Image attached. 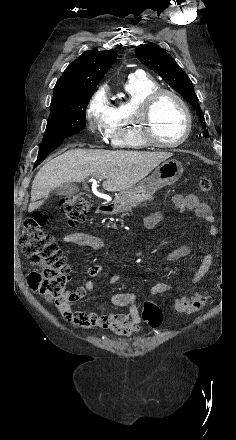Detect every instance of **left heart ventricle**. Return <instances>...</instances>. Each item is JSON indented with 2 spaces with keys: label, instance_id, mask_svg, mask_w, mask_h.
Segmentation results:
<instances>
[{
  "label": "left heart ventricle",
  "instance_id": "b2bd125f",
  "mask_svg": "<svg viewBox=\"0 0 236 440\" xmlns=\"http://www.w3.org/2000/svg\"><path fill=\"white\" fill-rule=\"evenodd\" d=\"M154 132L162 142H174L181 138L185 129V116L180 105L164 95L153 110Z\"/></svg>",
  "mask_w": 236,
  "mask_h": 440
}]
</instances>
